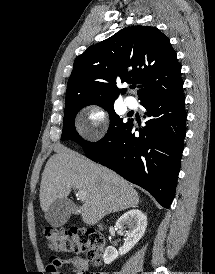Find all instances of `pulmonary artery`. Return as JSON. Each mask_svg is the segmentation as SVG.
Here are the masks:
<instances>
[{"label": "pulmonary artery", "mask_w": 215, "mask_h": 274, "mask_svg": "<svg viewBox=\"0 0 215 274\" xmlns=\"http://www.w3.org/2000/svg\"><path fill=\"white\" fill-rule=\"evenodd\" d=\"M125 104L130 109H136L138 106L137 100L134 97H127L125 99Z\"/></svg>", "instance_id": "pulmonary-artery-1"}]
</instances>
